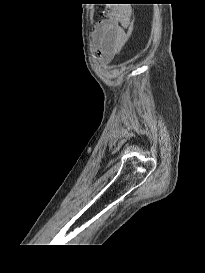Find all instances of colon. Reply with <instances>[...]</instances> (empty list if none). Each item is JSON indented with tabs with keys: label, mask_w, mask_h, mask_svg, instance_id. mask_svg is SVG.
I'll list each match as a JSON object with an SVG mask.
<instances>
[{
	"label": "colon",
	"mask_w": 205,
	"mask_h": 273,
	"mask_svg": "<svg viewBox=\"0 0 205 273\" xmlns=\"http://www.w3.org/2000/svg\"><path fill=\"white\" fill-rule=\"evenodd\" d=\"M133 31V27H131V29H130V32H132Z\"/></svg>",
	"instance_id": "5ec220e1"
}]
</instances>
